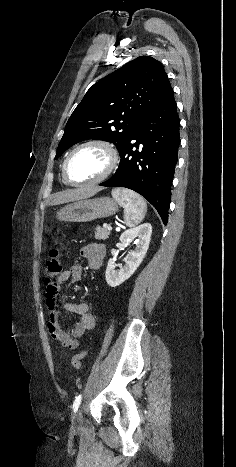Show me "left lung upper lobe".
I'll list each match as a JSON object with an SVG mask.
<instances>
[{
	"label": "left lung upper lobe",
	"instance_id": "5c2ea615",
	"mask_svg": "<svg viewBox=\"0 0 236 467\" xmlns=\"http://www.w3.org/2000/svg\"><path fill=\"white\" fill-rule=\"evenodd\" d=\"M171 89L163 65L140 56L90 87L69 118L55 159L86 139L112 142L122 151L132 130Z\"/></svg>",
	"mask_w": 236,
	"mask_h": 467
}]
</instances>
